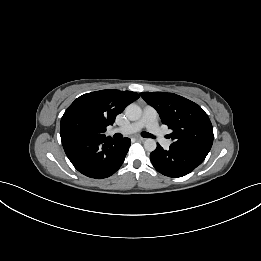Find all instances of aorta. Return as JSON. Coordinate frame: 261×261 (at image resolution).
Returning a JSON list of instances; mask_svg holds the SVG:
<instances>
[{
    "label": "aorta",
    "instance_id": "aorta-1",
    "mask_svg": "<svg viewBox=\"0 0 261 261\" xmlns=\"http://www.w3.org/2000/svg\"><path fill=\"white\" fill-rule=\"evenodd\" d=\"M125 114L129 120L136 121V120L140 119V117L142 115V109L138 105L132 103L126 107ZM156 147H157V144L154 139L149 138V139L145 140V142H144L145 150L152 152L156 149Z\"/></svg>",
    "mask_w": 261,
    "mask_h": 261
}]
</instances>
